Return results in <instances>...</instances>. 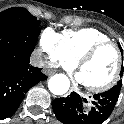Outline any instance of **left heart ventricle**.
Wrapping results in <instances>:
<instances>
[{
    "mask_svg": "<svg viewBox=\"0 0 124 124\" xmlns=\"http://www.w3.org/2000/svg\"><path fill=\"white\" fill-rule=\"evenodd\" d=\"M116 67V50L112 47H107L87 62L79 73L85 85L99 86L107 83L112 78Z\"/></svg>",
    "mask_w": 124,
    "mask_h": 124,
    "instance_id": "obj_1",
    "label": "left heart ventricle"
}]
</instances>
